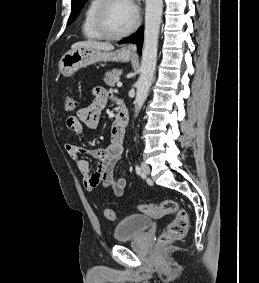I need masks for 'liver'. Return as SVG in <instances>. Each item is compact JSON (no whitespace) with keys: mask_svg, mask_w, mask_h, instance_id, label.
Returning <instances> with one entry per match:
<instances>
[{"mask_svg":"<svg viewBox=\"0 0 259 283\" xmlns=\"http://www.w3.org/2000/svg\"><path fill=\"white\" fill-rule=\"evenodd\" d=\"M80 47H89V48L99 49L103 51H111L114 49V46L111 43L99 42V41H94V40H87V41H81V42L74 43L71 46V49H76Z\"/></svg>","mask_w":259,"mask_h":283,"instance_id":"1","label":"liver"}]
</instances>
